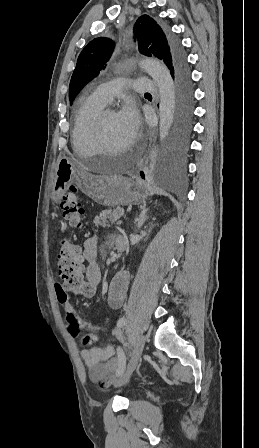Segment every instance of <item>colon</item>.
I'll return each mask as SVG.
<instances>
[{"label":"colon","mask_w":259,"mask_h":448,"mask_svg":"<svg viewBox=\"0 0 259 448\" xmlns=\"http://www.w3.org/2000/svg\"><path fill=\"white\" fill-rule=\"evenodd\" d=\"M63 217L73 227H81L84 209L79 201L77 190L71 187L62 200ZM58 253L59 275L64 290L74 294L90 296L94 290L85 275L83 256L80 248L69 239L60 240ZM98 339V332H89L84 336V343L91 345Z\"/></svg>","instance_id":"1"}]
</instances>
